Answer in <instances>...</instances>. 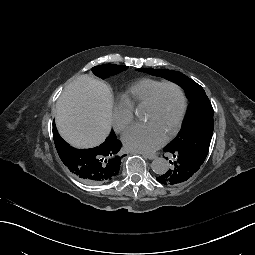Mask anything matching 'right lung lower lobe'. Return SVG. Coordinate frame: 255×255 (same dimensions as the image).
I'll return each mask as SVG.
<instances>
[{"label": "right lung lower lobe", "instance_id": "right-lung-lower-lobe-1", "mask_svg": "<svg viewBox=\"0 0 255 255\" xmlns=\"http://www.w3.org/2000/svg\"><path fill=\"white\" fill-rule=\"evenodd\" d=\"M79 162L83 166L85 177H98L100 175V154L82 150L79 152Z\"/></svg>", "mask_w": 255, "mask_h": 255}]
</instances>
